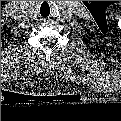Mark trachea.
I'll return each instance as SVG.
<instances>
[{
  "mask_svg": "<svg viewBox=\"0 0 121 121\" xmlns=\"http://www.w3.org/2000/svg\"><path fill=\"white\" fill-rule=\"evenodd\" d=\"M39 13L43 18L49 17L51 14L50 5L47 2H43L40 6Z\"/></svg>",
  "mask_w": 121,
  "mask_h": 121,
  "instance_id": "1",
  "label": "trachea"
}]
</instances>
